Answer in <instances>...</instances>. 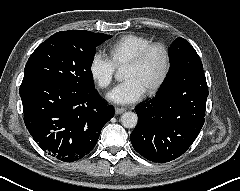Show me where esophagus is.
<instances>
[{
    "label": "esophagus",
    "instance_id": "obj_1",
    "mask_svg": "<svg viewBox=\"0 0 240 191\" xmlns=\"http://www.w3.org/2000/svg\"><path fill=\"white\" fill-rule=\"evenodd\" d=\"M125 111H126V108H122V107H116L115 108V113L116 114H122Z\"/></svg>",
    "mask_w": 240,
    "mask_h": 191
}]
</instances>
